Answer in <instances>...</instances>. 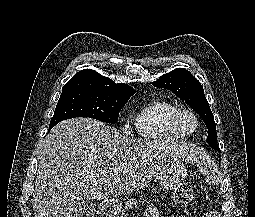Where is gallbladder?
<instances>
[{
  "instance_id": "1",
  "label": "gallbladder",
  "mask_w": 255,
  "mask_h": 217,
  "mask_svg": "<svg viewBox=\"0 0 255 217\" xmlns=\"http://www.w3.org/2000/svg\"><path fill=\"white\" fill-rule=\"evenodd\" d=\"M96 211V204L88 198H82L75 206L72 217H91Z\"/></svg>"
}]
</instances>
